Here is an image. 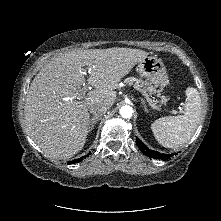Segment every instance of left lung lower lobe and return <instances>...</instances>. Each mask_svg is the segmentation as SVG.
Segmentation results:
<instances>
[{
    "label": "left lung lower lobe",
    "instance_id": "left-lung-lower-lobe-1",
    "mask_svg": "<svg viewBox=\"0 0 221 221\" xmlns=\"http://www.w3.org/2000/svg\"><path fill=\"white\" fill-rule=\"evenodd\" d=\"M136 144L137 146L140 148V150L142 151V153L144 155H147L149 157H152L154 159H162V160H166V159H170L173 154H161L159 152L153 151V150H149L140 139H136Z\"/></svg>",
    "mask_w": 221,
    "mask_h": 221
}]
</instances>
